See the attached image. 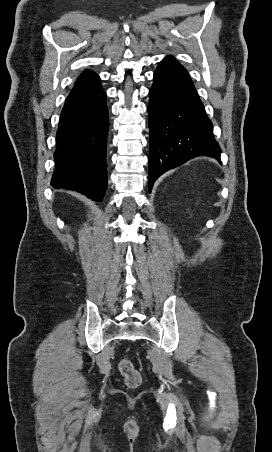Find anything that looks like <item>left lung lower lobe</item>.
Wrapping results in <instances>:
<instances>
[{
  "label": "left lung lower lobe",
  "mask_w": 272,
  "mask_h": 452,
  "mask_svg": "<svg viewBox=\"0 0 272 452\" xmlns=\"http://www.w3.org/2000/svg\"><path fill=\"white\" fill-rule=\"evenodd\" d=\"M149 96L150 155L148 186L191 158L220 160L221 149L213 125L187 70L172 56L154 73Z\"/></svg>",
  "instance_id": "0a47b994"
}]
</instances>
